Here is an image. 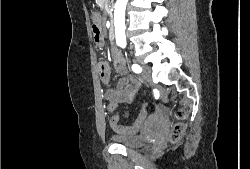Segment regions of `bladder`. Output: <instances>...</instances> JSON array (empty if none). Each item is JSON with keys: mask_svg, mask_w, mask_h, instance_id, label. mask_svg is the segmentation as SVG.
I'll return each instance as SVG.
<instances>
[{"mask_svg": "<svg viewBox=\"0 0 250 169\" xmlns=\"http://www.w3.org/2000/svg\"><path fill=\"white\" fill-rule=\"evenodd\" d=\"M110 140L113 143L121 144L124 147L132 149H139L144 146L140 143L141 139H139V134H113Z\"/></svg>", "mask_w": 250, "mask_h": 169, "instance_id": "obj_1", "label": "bladder"}]
</instances>
